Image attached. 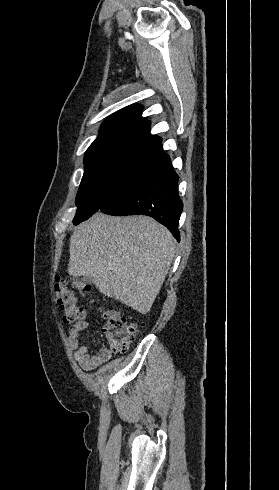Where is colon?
Instances as JSON below:
<instances>
[{
    "label": "colon",
    "instance_id": "colon-1",
    "mask_svg": "<svg viewBox=\"0 0 279 490\" xmlns=\"http://www.w3.org/2000/svg\"><path fill=\"white\" fill-rule=\"evenodd\" d=\"M78 290L84 297L89 296L91 286L84 282L76 280L74 285L69 277H58L54 284L55 299L63 312L62 320L66 324H71L82 320L86 312L84 308L78 305L74 289ZM103 316L107 320V329L105 337L108 338L110 347L115 352H125L135 338L137 328L128 325L123 317L119 314L102 310Z\"/></svg>",
    "mask_w": 279,
    "mask_h": 490
}]
</instances>
